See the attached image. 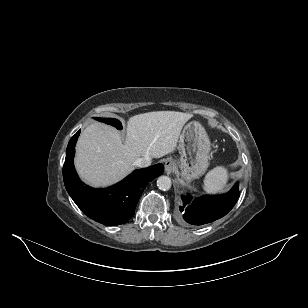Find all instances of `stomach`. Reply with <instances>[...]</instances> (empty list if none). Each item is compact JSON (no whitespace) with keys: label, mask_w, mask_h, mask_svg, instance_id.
I'll list each match as a JSON object with an SVG mask.
<instances>
[{"label":"stomach","mask_w":308,"mask_h":308,"mask_svg":"<svg viewBox=\"0 0 308 308\" xmlns=\"http://www.w3.org/2000/svg\"><path fill=\"white\" fill-rule=\"evenodd\" d=\"M178 149L181 177L192 181L205 173L209 166L210 140L200 123L189 122L182 130Z\"/></svg>","instance_id":"1"}]
</instances>
